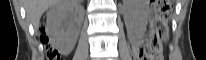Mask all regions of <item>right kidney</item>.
<instances>
[{
	"instance_id": "right-kidney-1",
	"label": "right kidney",
	"mask_w": 206,
	"mask_h": 60,
	"mask_svg": "<svg viewBox=\"0 0 206 60\" xmlns=\"http://www.w3.org/2000/svg\"><path fill=\"white\" fill-rule=\"evenodd\" d=\"M76 6L73 0L54 4L47 15V27L52 42L61 50H70L75 45L78 31L67 22V13Z\"/></svg>"
}]
</instances>
